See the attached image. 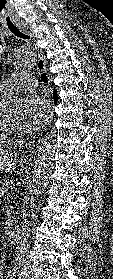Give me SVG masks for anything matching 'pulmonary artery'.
<instances>
[{
  "label": "pulmonary artery",
  "mask_w": 113,
  "mask_h": 279,
  "mask_svg": "<svg viewBox=\"0 0 113 279\" xmlns=\"http://www.w3.org/2000/svg\"><path fill=\"white\" fill-rule=\"evenodd\" d=\"M36 85L35 78L30 74L17 73L0 84V92L11 98L23 90L33 89Z\"/></svg>",
  "instance_id": "1"
}]
</instances>
